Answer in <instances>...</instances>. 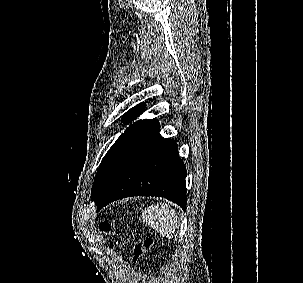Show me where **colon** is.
<instances>
[{
	"instance_id": "1",
	"label": "colon",
	"mask_w": 303,
	"mask_h": 283,
	"mask_svg": "<svg viewBox=\"0 0 303 283\" xmlns=\"http://www.w3.org/2000/svg\"><path fill=\"white\" fill-rule=\"evenodd\" d=\"M101 230L109 231L110 225L107 222H102L100 225ZM153 247V240L151 238H146L144 242L140 245H137L134 249V258L136 260L140 259Z\"/></svg>"
}]
</instances>
